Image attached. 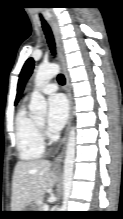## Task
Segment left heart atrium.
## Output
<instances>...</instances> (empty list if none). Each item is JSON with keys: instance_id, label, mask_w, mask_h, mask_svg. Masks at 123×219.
<instances>
[{"instance_id": "obj_1", "label": "left heart atrium", "mask_w": 123, "mask_h": 219, "mask_svg": "<svg viewBox=\"0 0 123 219\" xmlns=\"http://www.w3.org/2000/svg\"><path fill=\"white\" fill-rule=\"evenodd\" d=\"M68 117V103L62 94L48 99V125L52 131L60 130Z\"/></svg>"}]
</instances>
